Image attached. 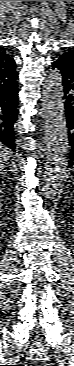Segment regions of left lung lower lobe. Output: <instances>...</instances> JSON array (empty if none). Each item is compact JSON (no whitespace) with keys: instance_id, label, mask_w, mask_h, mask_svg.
Listing matches in <instances>:
<instances>
[{"instance_id":"obj_1","label":"left lung lower lobe","mask_w":74,"mask_h":366,"mask_svg":"<svg viewBox=\"0 0 74 366\" xmlns=\"http://www.w3.org/2000/svg\"><path fill=\"white\" fill-rule=\"evenodd\" d=\"M52 67L59 71L62 76L68 136L72 146L71 160L69 161V167H71L74 165V65L63 58H58Z\"/></svg>"}]
</instances>
